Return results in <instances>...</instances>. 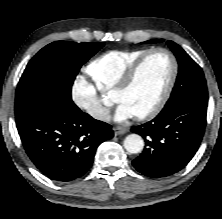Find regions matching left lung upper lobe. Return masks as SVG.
<instances>
[{
    "instance_id": "obj_1",
    "label": "left lung upper lobe",
    "mask_w": 222,
    "mask_h": 219,
    "mask_svg": "<svg viewBox=\"0 0 222 219\" xmlns=\"http://www.w3.org/2000/svg\"><path fill=\"white\" fill-rule=\"evenodd\" d=\"M162 41L163 39H154L144 43H160ZM167 44L178 60L179 73L166 105L179 100H190L207 106V85L201 67L178 44L173 41H167Z\"/></svg>"
}]
</instances>
